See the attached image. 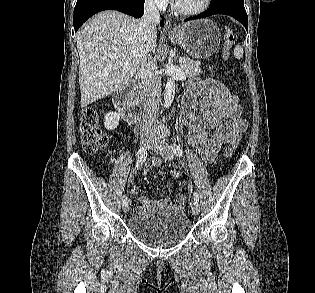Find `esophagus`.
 Instances as JSON below:
<instances>
[{
	"mask_svg": "<svg viewBox=\"0 0 315 293\" xmlns=\"http://www.w3.org/2000/svg\"><path fill=\"white\" fill-rule=\"evenodd\" d=\"M163 31L165 33H172L174 31V29L172 27V23H171V21L169 19H166Z\"/></svg>",
	"mask_w": 315,
	"mask_h": 293,
	"instance_id": "1",
	"label": "esophagus"
}]
</instances>
